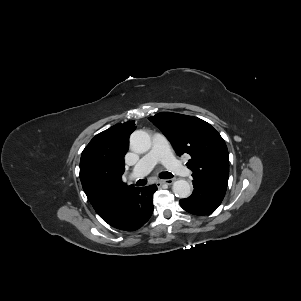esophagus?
<instances>
[{
	"label": "esophagus",
	"mask_w": 301,
	"mask_h": 301,
	"mask_svg": "<svg viewBox=\"0 0 301 301\" xmlns=\"http://www.w3.org/2000/svg\"><path fill=\"white\" fill-rule=\"evenodd\" d=\"M173 182H174L173 179H165V180H159L157 183H158V184L172 185Z\"/></svg>",
	"instance_id": "1"
}]
</instances>
